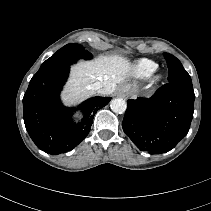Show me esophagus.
Instances as JSON below:
<instances>
[{"label":"esophagus","instance_id":"1","mask_svg":"<svg viewBox=\"0 0 211 211\" xmlns=\"http://www.w3.org/2000/svg\"><path fill=\"white\" fill-rule=\"evenodd\" d=\"M119 93L121 96H126L128 94V88H122Z\"/></svg>","mask_w":211,"mask_h":211}]
</instances>
